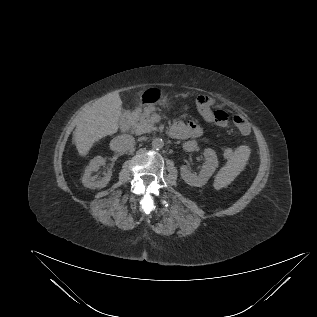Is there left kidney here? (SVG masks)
<instances>
[{
    "label": "left kidney",
    "instance_id": "obj_1",
    "mask_svg": "<svg viewBox=\"0 0 317 317\" xmlns=\"http://www.w3.org/2000/svg\"><path fill=\"white\" fill-rule=\"evenodd\" d=\"M205 163L199 174L192 173L186 165L180 168L182 179L190 186L202 187L207 183L209 178L214 174L218 167V159L213 149L204 150Z\"/></svg>",
    "mask_w": 317,
    "mask_h": 317
}]
</instances>
